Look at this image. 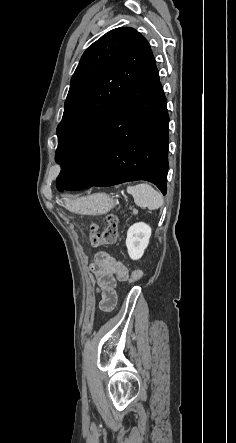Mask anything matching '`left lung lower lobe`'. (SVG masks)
<instances>
[{"label": "left lung lower lobe", "mask_w": 236, "mask_h": 443, "mask_svg": "<svg viewBox=\"0 0 236 443\" xmlns=\"http://www.w3.org/2000/svg\"><path fill=\"white\" fill-rule=\"evenodd\" d=\"M168 125L166 97L152 54L62 167L58 190L146 180L165 195Z\"/></svg>", "instance_id": "1"}]
</instances>
